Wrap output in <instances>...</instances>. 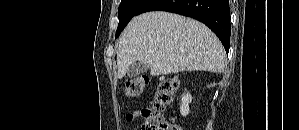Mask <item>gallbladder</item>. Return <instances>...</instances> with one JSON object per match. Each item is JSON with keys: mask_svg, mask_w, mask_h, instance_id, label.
<instances>
[{"mask_svg": "<svg viewBox=\"0 0 299 130\" xmlns=\"http://www.w3.org/2000/svg\"><path fill=\"white\" fill-rule=\"evenodd\" d=\"M149 66L146 63L137 61L134 62L127 70V74L129 77L133 78V77H137L141 74H144L148 71Z\"/></svg>", "mask_w": 299, "mask_h": 130, "instance_id": "bac80fb5", "label": "gallbladder"}]
</instances>
